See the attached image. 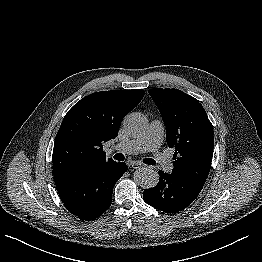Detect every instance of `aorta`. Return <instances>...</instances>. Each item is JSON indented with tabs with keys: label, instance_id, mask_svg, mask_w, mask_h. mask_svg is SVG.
Listing matches in <instances>:
<instances>
[{
	"label": "aorta",
	"instance_id": "aorta-1",
	"mask_svg": "<svg viewBox=\"0 0 262 262\" xmlns=\"http://www.w3.org/2000/svg\"><path fill=\"white\" fill-rule=\"evenodd\" d=\"M146 124L144 115L137 112L129 113L123 120L125 131L132 137L142 135ZM134 181L144 189L153 188L159 182V174L153 168H142L134 173Z\"/></svg>",
	"mask_w": 262,
	"mask_h": 262
}]
</instances>
